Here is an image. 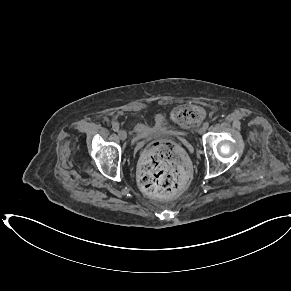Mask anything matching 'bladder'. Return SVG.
Returning a JSON list of instances; mask_svg holds the SVG:
<instances>
[{
	"mask_svg": "<svg viewBox=\"0 0 291 291\" xmlns=\"http://www.w3.org/2000/svg\"><path fill=\"white\" fill-rule=\"evenodd\" d=\"M170 130L165 118L162 115H156L150 125H141L135 128V134L140 138L154 134H163Z\"/></svg>",
	"mask_w": 291,
	"mask_h": 291,
	"instance_id": "31cf9c89",
	"label": "bladder"
}]
</instances>
